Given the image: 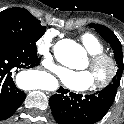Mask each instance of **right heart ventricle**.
I'll use <instances>...</instances> for the list:
<instances>
[{
	"label": "right heart ventricle",
	"instance_id": "1",
	"mask_svg": "<svg viewBox=\"0 0 124 124\" xmlns=\"http://www.w3.org/2000/svg\"><path fill=\"white\" fill-rule=\"evenodd\" d=\"M80 41L88 53L103 52L104 50L103 42L93 33L82 34Z\"/></svg>",
	"mask_w": 124,
	"mask_h": 124
}]
</instances>
